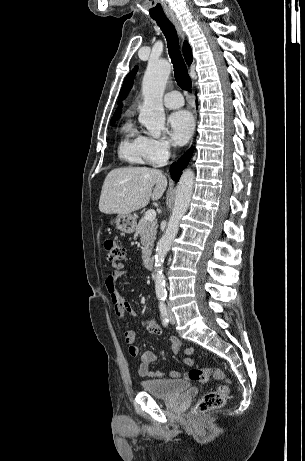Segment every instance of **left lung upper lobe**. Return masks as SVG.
I'll return each mask as SVG.
<instances>
[{
    "label": "left lung upper lobe",
    "instance_id": "1",
    "mask_svg": "<svg viewBox=\"0 0 305 461\" xmlns=\"http://www.w3.org/2000/svg\"><path fill=\"white\" fill-rule=\"evenodd\" d=\"M136 71H137V67H135L132 70V72H130L125 78V81H124V84H123V87L120 93L121 98H125L129 90L131 89L132 84H133V78H134V75L136 74Z\"/></svg>",
    "mask_w": 305,
    "mask_h": 461
}]
</instances>
